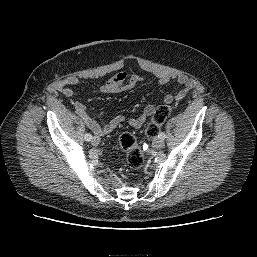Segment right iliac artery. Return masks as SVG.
Segmentation results:
<instances>
[{
	"label": "right iliac artery",
	"mask_w": 257,
	"mask_h": 257,
	"mask_svg": "<svg viewBox=\"0 0 257 257\" xmlns=\"http://www.w3.org/2000/svg\"><path fill=\"white\" fill-rule=\"evenodd\" d=\"M84 139L89 142L92 139V135L90 133H86Z\"/></svg>",
	"instance_id": "1"
}]
</instances>
